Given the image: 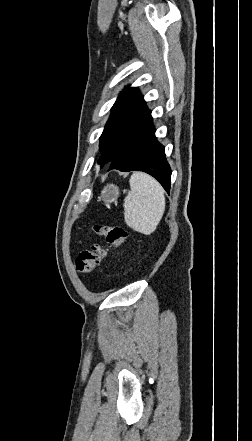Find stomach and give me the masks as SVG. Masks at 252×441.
I'll use <instances>...</instances> for the list:
<instances>
[{"label": "stomach", "instance_id": "0dacf381", "mask_svg": "<svg viewBox=\"0 0 252 441\" xmlns=\"http://www.w3.org/2000/svg\"><path fill=\"white\" fill-rule=\"evenodd\" d=\"M118 196H119V188L113 184H109L106 187H104L101 194V198L108 203L116 201Z\"/></svg>", "mask_w": 252, "mask_h": 441}]
</instances>
